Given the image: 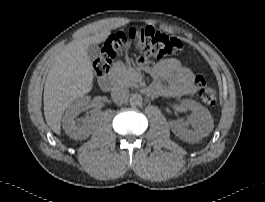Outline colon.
Instances as JSON below:
<instances>
[{
	"label": "colon",
	"instance_id": "5ec220e1",
	"mask_svg": "<svg viewBox=\"0 0 265 202\" xmlns=\"http://www.w3.org/2000/svg\"><path fill=\"white\" fill-rule=\"evenodd\" d=\"M127 43H133L138 50L137 60L141 66H147L151 59H161L182 52V43L176 37L163 34L150 27H133L109 35L103 42L99 55L94 61V77L106 75L119 50ZM198 96L208 106L217 101L216 89L207 76L195 78Z\"/></svg>",
	"mask_w": 265,
	"mask_h": 202
}]
</instances>
